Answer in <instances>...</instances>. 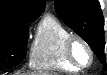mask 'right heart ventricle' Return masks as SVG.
Masks as SVG:
<instances>
[{
    "instance_id": "right-heart-ventricle-1",
    "label": "right heart ventricle",
    "mask_w": 107,
    "mask_h": 75,
    "mask_svg": "<svg viewBox=\"0 0 107 75\" xmlns=\"http://www.w3.org/2000/svg\"><path fill=\"white\" fill-rule=\"evenodd\" d=\"M72 34L58 19L45 16L39 23L32 42L29 66L36 70L77 72L66 58L64 45Z\"/></svg>"
}]
</instances>
